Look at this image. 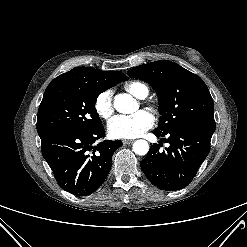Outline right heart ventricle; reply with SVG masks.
I'll use <instances>...</instances> for the list:
<instances>
[{
	"label": "right heart ventricle",
	"mask_w": 247,
	"mask_h": 247,
	"mask_svg": "<svg viewBox=\"0 0 247 247\" xmlns=\"http://www.w3.org/2000/svg\"><path fill=\"white\" fill-rule=\"evenodd\" d=\"M124 87L130 94L141 99L145 98L149 93L148 87L139 81L129 82Z\"/></svg>",
	"instance_id": "obj_1"
}]
</instances>
